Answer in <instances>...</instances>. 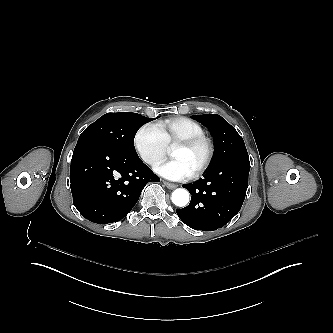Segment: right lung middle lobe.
Returning <instances> with one entry per match:
<instances>
[{
	"mask_svg": "<svg viewBox=\"0 0 333 333\" xmlns=\"http://www.w3.org/2000/svg\"><path fill=\"white\" fill-rule=\"evenodd\" d=\"M154 120L137 113H107L89 125L80 135L78 142L84 139L101 141L122 154L137 156L134 137L145 123Z\"/></svg>",
	"mask_w": 333,
	"mask_h": 333,
	"instance_id": "dd1d6c3e",
	"label": "right lung middle lobe"
}]
</instances>
